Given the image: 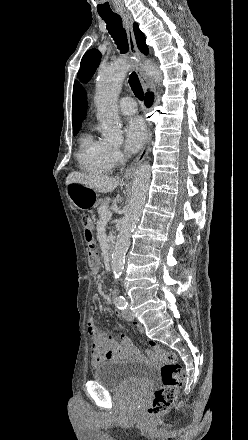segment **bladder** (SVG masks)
I'll return each instance as SVG.
<instances>
[{
	"label": "bladder",
	"instance_id": "obj_1",
	"mask_svg": "<svg viewBox=\"0 0 248 440\" xmlns=\"http://www.w3.org/2000/svg\"><path fill=\"white\" fill-rule=\"evenodd\" d=\"M93 379L112 392L122 390H148L154 380L152 367L134 360H112L93 370Z\"/></svg>",
	"mask_w": 248,
	"mask_h": 440
}]
</instances>
